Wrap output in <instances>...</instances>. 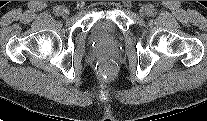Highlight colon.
I'll list each match as a JSON object with an SVG mask.
<instances>
[{"mask_svg": "<svg viewBox=\"0 0 207 121\" xmlns=\"http://www.w3.org/2000/svg\"><path fill=\"white\" fill-rule=\"evenodd\" d=\"M99 70L102 74H111L115 70V64L111 59L104 58L99 66Z\"/></svg>", "mask_w": 207, "mask_h": 121, "instance_id": "obj_1", "label": "colon"}]
</instances>
